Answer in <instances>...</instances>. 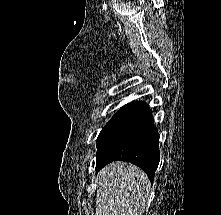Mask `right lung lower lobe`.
Wrapping results in <instances>:
<instances>
[{"mask_svg":"<svg viewBox=\"0 0 221 215\" xmlns=\"http://www.w3.org/2000/svg\"><path fill=\"white\" fill-rule=\"evenodd\" d=\"M96 157L97 171L112 161L122 160L140 167L153 181L160 160L159 135L144 102L129 105L98 146Z\"/></svg>","mask_w":221,"mask_h":215,"instance_id":"obj_1","label":"right lung lower lobe"}]
</instances>
